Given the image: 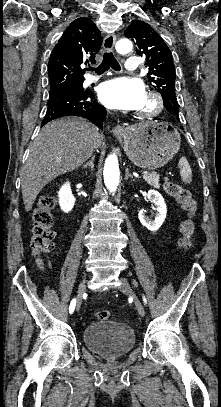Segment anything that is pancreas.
<instances>
[{
  "label": "pancreas",
  "mask_w": 221,
  "mask_h": 407,
  "mask_svg": "<svg viewBox=\"0 0 221 407\" xmlns=\"http://www.w3.org/2000/svg\"><path fill=\"white\" fill-rule=\"evenodd\" d=\"M145 181L149 184L154 186L155 188H160V175L157 173H152L144 176Z\"/></svg>",
  "instance_id": "obj_1"
}]
</instances>
